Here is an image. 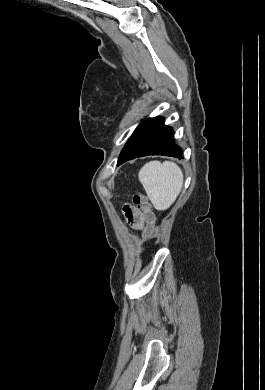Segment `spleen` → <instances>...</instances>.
<instances>
[{
    "mask_svg": "<svg viewBox=\"0 0 265 390\" xmlns=\"http://www.w3.org/2000/svg\"><path fill=\"white\" fill-rule=\"evenodd\" d=\"M139 181L157 210H167L183 187V172L174 162L151 161L139 171Z\"/></svg>",
    "mask_w": 265,
    "mask_h": 390,
    "instance_id": "obj_1",
    "label": "spleen"
}]
</instances>
